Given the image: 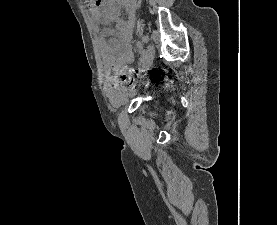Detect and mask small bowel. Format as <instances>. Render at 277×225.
I'll return each mask as SVG.
<instances>
[{"instance_id": "c3829d8e", "label": "small bowel", "mask_w": 277, "mask_h": 225, "mask_svg": "<svg viewBox=\"0 0 277 225\" xmlns=\"http://www.w3.org/2000/svg\"><path fill=\"white\" fill-rule=\"evenodd\" d=\"M138 5L139 0H107L103 4H88L93 28L98 32L97 42L104 62V89L112 103L122 102L127 95L126 89L115 84L113 72L123 65L134 62L129 40ZM101 7L102 10H100ZM121 7L128 14L127 20L118 16ZM112 21L115 22L114 28H105L100 31V25H108Z\"/></svg>"}]
</instances>
